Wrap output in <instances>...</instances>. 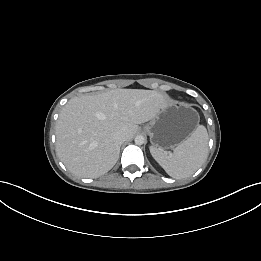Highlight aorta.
Returning <instances> with one entry per match:
<instances>
[{
  "label": "aorta",
  "instance_id": "762f6f07",
  "mask_svg": "<svg viewBox=\"0 0 261 261\" xmlns=\"http://www.w3.org/2000/svg\"><path fill=\"white\" fill-rule=\"evenodd\" d=\"M134 141L137 145H142L145 142V137L143 135H137Z\"/></svg>",
  "mask_w": 261,
  "mask_h": 261
}]
</instances>
